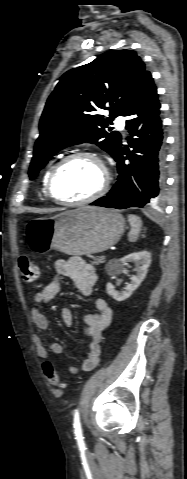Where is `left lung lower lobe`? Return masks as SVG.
I'll list each match as a JSON object with an SVG mask.
<instances>
[{"label": "left lung lower lobe", "mask_w": 187, "mask_h": 479, "mask_svg": "<svg viewBox=\"0 0 187 479\" xmlns=\"http://www.w3.org/2000/svg\"><path fill=\"white\" fill-rule=\"evenodd\" d=\"M128 144L114 158L117 161L118 181L112 190L91 205L125 209L157 204L165 192V152L160 103L152 76L145 78L140 93L126 115ZM127 155V157L125 156ZM129 159L130 164H125Z\"/></svg>", "instance_id": "obj_1"}]
</instances>
